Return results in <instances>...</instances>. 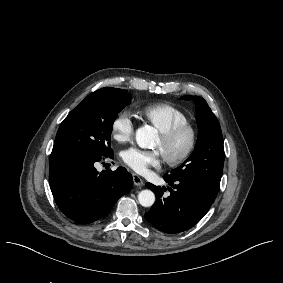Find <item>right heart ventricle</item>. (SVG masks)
<instances>
[{
  "mask_svg": "<svg viewBox=\"0 0 283 283\" xmlns=\"http://www.w3.org/2000/svg\"><path fill=\"white\" fill-rule=\"evenodd\" d=\"M136 114L150 123L159 133L173 126L189 122V117L180 109L167 103H153L140 107Z\"/></svg>",
  "mask_w": 283,
  "mask_h": 283,
  "instance_id": "obj_1",
  "label": "right heart ventricle"
}]
</instances>
